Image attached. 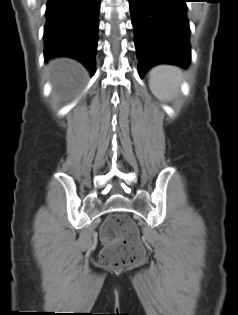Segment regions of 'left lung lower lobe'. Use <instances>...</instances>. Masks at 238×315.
Listing matches in <instances>:
<instances>
[{"label": "left lung lower lobe", "instance_id": "1", "mask_svg": "<svg viewBox=\"0 0 238 315\" xmlns=\"http://www.w3.org/2000/svg\"><path fill=\"white\" fill-rule=\"evenodd\" d=\"M187 0H129L139 75L169 63L187 67L191 60Z\"/></svg>", "mask_w": 238, "mask_h": 315}]
</instances>
